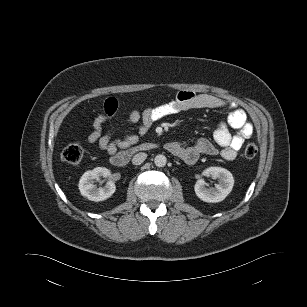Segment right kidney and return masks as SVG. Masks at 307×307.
<instances>
[{
    "label": "right kidney",
    "instance_id": "right-kidney-1",
    "mask_svg": "<svg viewBox=\"0 0 307 307\" xmlns=\"http://www.w3.org/2000/svg\"><path fill=\"white\" fill-rule=\"evenodd\" d=\"M110 171L103 167H97L85 172L79 181V190L82 196L95 202L103 201L113 195L116 190L114 182L108 181L104 187L97 188L94 184L95 179L109 177Z\"/></svg>",
    "mask_w": 307,
    "mask_h": 307
}]
</instances>
